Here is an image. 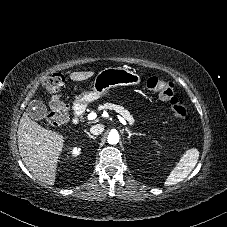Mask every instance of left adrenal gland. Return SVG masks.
I'll return each instance as SVG.
<instances>
[{"mask_svg": "<svg viewBox=\"0 0 227 227\" xmlns=\"http://www.w3.org/2000/svg\"><path fill=\"white\" fill-rule=\"evenodd\" d=\"M125 131L128 133V139L130 140L133 135H141L140 133H132L128 128H125Z\"/></svg>", "mask_w": 227, "mask_h": 227, "instance_id": "obj_1", "label": "left adrenal gland"}]
</instances>
